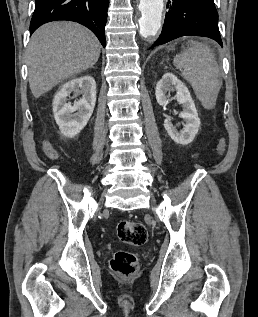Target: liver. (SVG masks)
<instances>
[{
    "label": "liver",
    "instance_id": "liver-1",
    "mask_svg": "<svg viewBox=\"0 0 258 317\" xmlns=\"http://www.w3.org/2000/svg\"><path fill=\"white\" fill-rule=\"evenodd\" d=\"M100 42L77 22H47L37 28L27 48L28 80L39 98L55 84L97 62Z\"/></svg>",
    "mask_w": 258,
    "mask_h": 317
}]
</instances>
